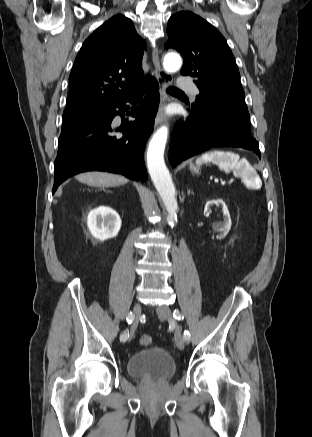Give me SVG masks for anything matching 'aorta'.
I'll return each instance as SVG.
<instances>
[{
	"label": "aorta",
	"mask_w": 312,
	"mask_h": 437,
	"mask_svg": "<svg viewBox=\"0 0 312 437\" xmlns=\"http://www.w3.org/2000/svg\"><path fill=\"white\" fill-rule=\"evenodd\" d=\"M181 63L178 54L169 53L164 58L163 66L166 71L175 72L181 67ZM167 137V127H161L153 135L147 150V166L153 184L167 210V222L173 226L177 222L178 204L175 198L174 184L164 161Z\"/></svg>",
	"instance_id": "aorta-1"
}]
</instances>
